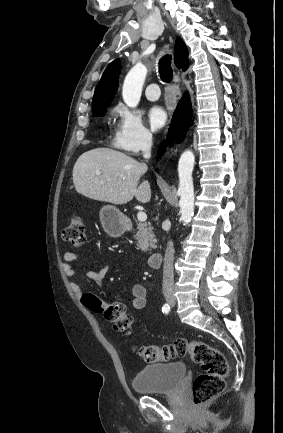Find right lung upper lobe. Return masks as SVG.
I'll return each instance as SVG.
<instances>
[{
  "mask_svg": "<svg viewBox=\"0 0 283 433\" xmlns=\"http://www.w3.org/2000/svg\"><path fill=\"white\" fill-rule=\"evenodd\" d=\"M174 55L176 66L186 70L188 68V50L179 37L176 39ZM120 65V60L116 59L104 71L94 93L92 111L106 107L111 103L118 88Z\"/></svg>",
  "mask_w": 283,
  "mask_h": 433,
  "instance_id": "cb5924a9",
  "label": "right lung upper lobe"
}]
</instances>
